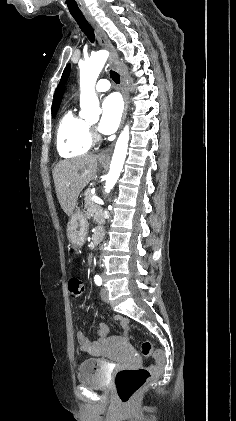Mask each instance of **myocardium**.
<instances>
[{"instance_id": "myocardium-1", "label": "myocardium", "mask_w": 236, "mask_h": 421, "mask_svg": "<svg viewBox=\"0 0 236 421\" xmlns=\"http://www.w3.org/2000/svg\"><path fill=\"white\" fill-rule=\"evenodd\" d=\"M88 128H89V134H90V137H91L92 142L98 141L99 138H98V136H97V134L95 132L94 126L89 124L88 125Z\"/></svg>"}]
</instances>
